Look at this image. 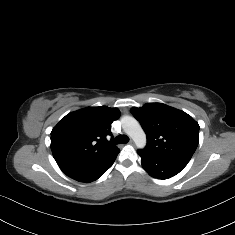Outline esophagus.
<instances>
[{"label":"esophagus","instance_id":"1","mask_svg":"<svg viewBox=\"0 0 235 235\" xmlns=\"http://www.w3.org/2000/svg\"><path fill=\"white\" fill-rule=\"evenodd\" d=\"M129 144L132 145V146L135 145V143L132 139L129 141Z\"/></svg>","mask_w":235,"mask_h":235}]
</instances>
